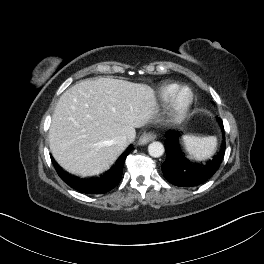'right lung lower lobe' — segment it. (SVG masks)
Wrapping results in <instances>:
<instances>
[{
  "instance_id": "obj_1",
  "label": "right lung lower lobe",
  "mask_w": 264,
  "mask_h": 264,
  "mask_svg": "<svg viewBox=\"0 0 264 264\" xmlns=\"http://www.w3.org/2000/svg\"><path fill=\"white\" fill-rule=\"evenodd\" d=\"M131 150L132 148L129 147L105 174L92 179H78L63 172L55 161L53 164L59 177L72 188L86 194H103L112 190L120 182L125 159Z\"/></svg>"
}]
</instances>
